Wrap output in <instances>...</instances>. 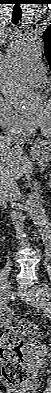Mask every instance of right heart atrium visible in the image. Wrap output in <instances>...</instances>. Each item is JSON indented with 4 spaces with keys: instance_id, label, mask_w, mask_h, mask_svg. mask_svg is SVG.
Here are the masks:
<instances>
[{
    "instance_id": "obj_1",
    "label": "right heart atrium",
    "mask_w": 51,
    "mask_h": 393,
    "mask_svg": "<svg viewBox=\"0 0 51 393\" xmlns=\"http://www.w3.org/2000/svg\"><path fill=\"white\" fill-rule=\"evenodd\" d=\"M0 125L7 133L21 137L28 136L34 129V123L22 116L5 99H0Z\"/></svg>"
}]
</instances>
